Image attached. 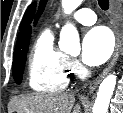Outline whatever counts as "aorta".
Masks as SVG:
<instances>
[{
	"mask_svg": "<svg viewBox=\"0 0 123 113\" xmlns=\"http://www.w3.org/2000/svg\"><path fill=\"white\" fill-rule=\"evenodd\" d=\"M82 0H62V8L66 14L72 13ZM59 48L63 52L71 55L80 53V40L77 29L71 23L64 25L60 32ZM116 85V76L108 75L100 84L93 113H107L110 99L113 95Z\"/></svg>",
	"mask_w": 123,
	"mask_h": 113,
	"instance_id": "aorta-1",
	"label": "aorta"
}]
</instances>
